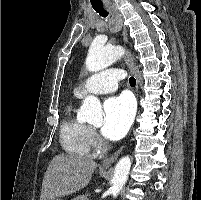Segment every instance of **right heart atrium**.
Masks as SVG:
<instances>
[{
    "instance_id": "obj_1",
    "label": "right heart atrium",
    "mask_w": 201,
    "mask_h": 200,
    "mask_svg": "<svg viewBox=\"0 0 201 200\" xmlns=\"http://www.w3.org/2000/svg\"><path fill=\"white\" fill-rule=\"evenodd\" d=\"M89 140H90V144L94 146L95 148L100 147L101 145L100 138L98 137L96 131L92 128H89Z\"/></svg>"
}]
</instances>
